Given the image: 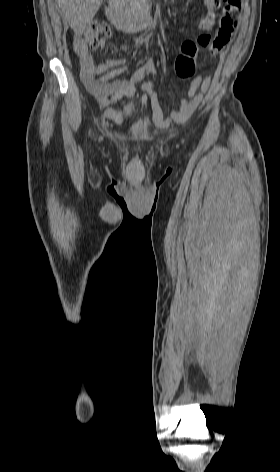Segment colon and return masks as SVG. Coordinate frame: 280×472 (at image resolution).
I'll use <instances>...</instances> for the list:
<instances>
[{
  "instance_id": "1",
  "label": "colon",
  "mask_w": 280,
  "mask_h": 472,
  "mask_svg": "<svg viewBox=\"0 0 280 472\" xmlns=\"http://www.w3.org/2000/svg\"><path fill=\"white\" fill-rule=\"evenodd\" d=\"M211 2L214 6L223 5L224 14L221 19L223 23L231 24L234 22L233 16L239 11L241 0H212ZM101 34L109 35L110 28L103 23L93 21L77 34L76 40L89 45L91 48H96ZM175 71L179 77L188 78L194 74L195 64L188 59H177Z\"/></svg>"
}]
</instances>
